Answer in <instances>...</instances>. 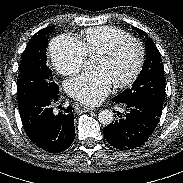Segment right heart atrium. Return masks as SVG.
Segmentation results:
<instances>
[{"mask_svg":"<svg viewBox=\"0 0 183 183\" xmlns=\"http://www.w3.org/2000/svg\"><path fill=\"white\" fill-rule=\"evenodd\" d=\"M50 55L54 68L64 76L77 74L86 59L80 41L69 34H61L53 39Z\"/></svg>","mask_w":183,"mask_h":183,"instance_id":"d8ad5b80","label":"right heart atrium"}]
</instances>
